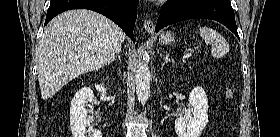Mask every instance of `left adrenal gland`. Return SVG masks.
<instances>
[{"label":"left adrenal gland","mask_w":280,"mask_h":137,"mask_svg":"<svg viewBox=\"0 0 280 137\" xmlns=\"http://www.w3.org/2000/svg\"><path fill=\"white\" fill-rule=\"evenodd\" d=\"M168 62H174V60L169 58V53H166L162 67L165 65V63H168Z\"/></svg>","instance_id":"a2214340"}]
</instances>
